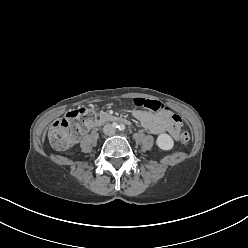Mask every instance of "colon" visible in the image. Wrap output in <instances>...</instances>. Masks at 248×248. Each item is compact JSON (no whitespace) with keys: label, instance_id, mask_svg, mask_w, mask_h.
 <instances>
[{"label":"colon","instance_id":"5ec220e1","mask_svg":"<svg viewBox=\"0 0 248 248\" xmlns=\"http://www.w3.org/2000/svg\"><path fill=\"white\" fill-rule=\"evenodd\" d=\"M133 103L137 107L147 108L152 111H165L166 108L158 101L135 98ZM96 112L91 108H77L68 112L64 117L58 118L50 127L48 137L51 145L57 150H65L77 141L82 133L95 121ZM176 123H181L178 115H173ZM190 135L187 131L181 133V141L188 143Z\"/></svg>","mask_w":248,"mask_h":248}]
</instances>
